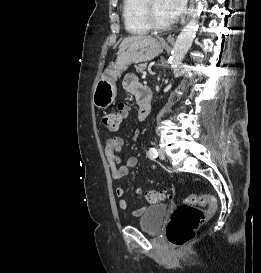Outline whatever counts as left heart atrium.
I'll list each match as a JSON object with an SVG mask.
<instances>
[{
	"label": "left heart atrium",
	"instance_id": "1",
	"mask_svg": "<svg viewBox=\"0 0 261 273\" xmlns=\"http://www.w3.org/2000/svg\"><path fill=\"white\" fill-rule=\"evenodd\" d=\"M166 9L171 22L177 21L186 9V0H165Z\"/></svg>",
	"mask_w": 261,
	"mask_h": 273
}]
</instances>
